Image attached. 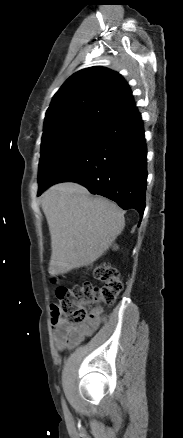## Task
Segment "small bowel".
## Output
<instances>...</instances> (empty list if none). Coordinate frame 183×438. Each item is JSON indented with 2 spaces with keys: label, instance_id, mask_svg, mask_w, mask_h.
Here are the masks:
<instances>
[{
  "label": "small bowel",
  "instance_id": "obj_1",
  "mask_svg": "<svg viewBox=\"0 0 183 438\" xmlns=\"http://www.w3.org/2000/svg\"><path fill=\"white\" fill-rule=\"evenodd\" d=\"M104 316L101 309L90 312L87 321L79 328H72L63 321L54 325V339L58 348L73 346L81 342L85 337L93 334L103 323Z\"/></svg>",
  "mask_w": 183,
  "mask_h": 438
}]
</instances>
